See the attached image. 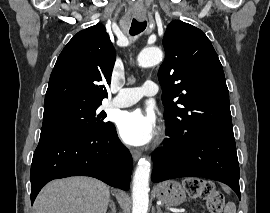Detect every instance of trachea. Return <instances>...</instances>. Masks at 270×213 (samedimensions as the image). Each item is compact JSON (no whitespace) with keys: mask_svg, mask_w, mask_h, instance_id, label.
<instances>
[{"mask_svg":"<svg viewBox=\"0 0 270 213\" xmlns=\"http://www.w3.org/2000/svg\"><path fill=\"white\" fill-rule=\"evenodd\" d=\"M146 26H147L146 21L138 22L137 20L133 19L132 24H131V28H130V34L132 36H135V35L143 32L145 30Z\"/></svg>","mask_w":270,"mask_h":213,"instance_id":"3493384b","label":"trachea"}]
</instances>
